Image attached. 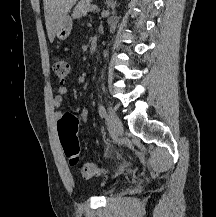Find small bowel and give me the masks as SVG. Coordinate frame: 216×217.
<instances>
[{"label":"small bowel","mask_w":216,"mask_h":217,"mask_svg":"<svg viewBox=\"0 0 216 217\" xmlns=\"http://www.w3.org/2000/svg\"><path fill=\"white\" fill-rule=\"evenodd\" d=\"M69 92L66 86H60L57 90V94L53 98V106L55 108L54 111V119L58 123L60 119L64 116V114L59 110L63 103L64 96ZM89 111L87 108H83L81 111V117L86 122L88 119Z\"/></svg>","instance_id":"c3829d8e"}]
</instances>
